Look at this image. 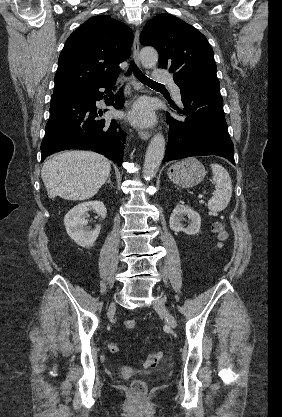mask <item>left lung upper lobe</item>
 Returning a JSON list of instances; mask_svg holds the SVG:
<instances>
[{"instance_id": "obj_1", "label": "left lung upper lobe", "mask_w": 282, "mask_h": 417, "mask_svg": "<svg viewBox=\"0 0 282 417\" xmlns=\"http://www.w3.org/2000/svg\"><path fill=\"white\" fill-rule=\"evenodd\" d=\"M141 43L159 52V68L174 73L178 87L191 81H208L219 85L213 50L206 37L181 19L164 13L148 21Z\"/></svg>"}]
</instances>
